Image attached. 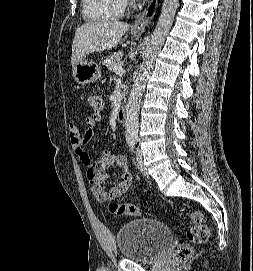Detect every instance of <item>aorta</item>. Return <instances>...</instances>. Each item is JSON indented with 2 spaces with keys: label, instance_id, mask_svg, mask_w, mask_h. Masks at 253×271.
Masks as SVG:
<instances>
[{
  "label": "aorta",
  "instance_id": "1",
  "mask_svg": "<svg viewBox=\"0 0 253 271\" xmlns=\"http://www.w3.org/2000/svg\"><path fill=\"white\" fill-rule=\"evenodd\" d=\"M179 0H164L156 28L147 47L144 61L135 79L126 105L125 137L127 141H136L139 129V109L143 92L154 67V61L160 52L171 29Z\"/></svg>",
  "mask_w": 253,
  "mask_h": 271
}]
</instances>
